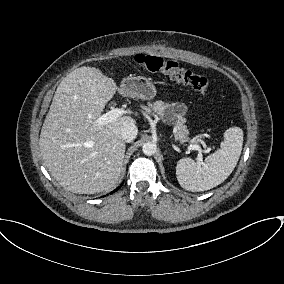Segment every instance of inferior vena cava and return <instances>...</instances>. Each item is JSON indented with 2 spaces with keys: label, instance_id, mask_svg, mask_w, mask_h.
<instances>
[{
  "label": "inferior vena cava",
  "instance_id": "obj_1",
  "mask_svg": "<svg viewBox=\"0 0 284 284\" xmlns=\"http://www.w3.org/2000/svg\"><path fill=\"white\" fill-rule=\"evenodd\" d=\"M137 133L138 128L134 123L125 124L121 128V137L127 143L132 142L136 138Z\"/></svg>",
  "mask_w": 284,
  "mask_h": 284
}]
</instances>
